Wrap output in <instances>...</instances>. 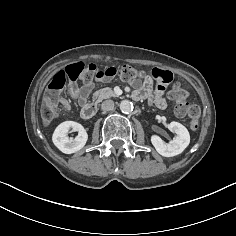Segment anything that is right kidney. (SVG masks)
<instances>
[{
  "instance_id": "ca27d5eb",
  "label": "right kidney",
  "mask_w": 236,
  "mask_h": 236,
  "mask_svg": "<svg viewBox=\"0 0 236 236\" xmlns=\"http://www.w3.org/2000/svg\"><path fill=\"white\" fill-rule=\"evenodd\" d=\"M78 131L73 139L68 137L69 132ZM88 139V135L81 124L74 121H65L55 129L52 141L54 145L65 154H72L82 149Z\"/></svg>"
}]
</instances>
